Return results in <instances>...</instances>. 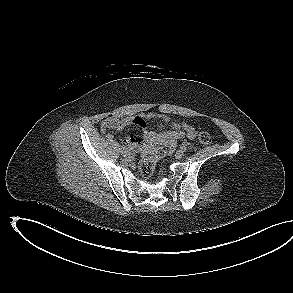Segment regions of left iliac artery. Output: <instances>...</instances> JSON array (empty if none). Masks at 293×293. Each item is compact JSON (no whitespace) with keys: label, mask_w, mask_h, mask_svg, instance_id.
<instances>
[{"label":"left iliac artery","mask_w":293,"mask_h":293,"mask_svg":"<svg viewBox=\"0 0 293 293\" xmlns=\"http://www.w3.org/2000/svg\"><path fill=\"white\" fill-rule=\"evenodd\" d=\"M180 149H181L183 152H185V151H186V149H187V147H186V145H185V144H182V145L180 146Z\"/></svg>","instance_id":"left-iliac-artery-1"}]
</instances>
